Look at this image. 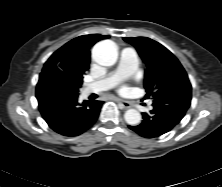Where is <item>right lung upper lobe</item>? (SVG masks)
<instances>
[{
	"label": "right lung upper lobe",
	"mask_w": 222,
	"mask_h": 187,
	"mask_svg": "<svg viewBox=\"0 0 222 187\" xmlns=\"http://www.w3.org/2000/svg\"><path fill=\"white\" fill-rule=\"evenodd\" d=\"M109 38L108 35H83L66 43L54 52L44 65L42 72L60 69H71L83 75L89 69L90 48L99 40Z\"/></svg>",
	"instance_id": "obj_1"
}]
</instances>
